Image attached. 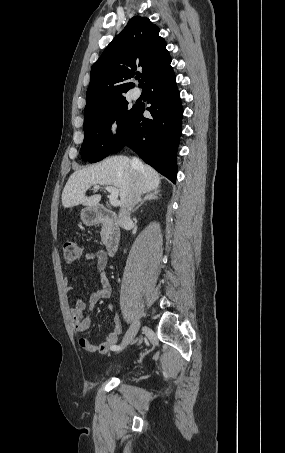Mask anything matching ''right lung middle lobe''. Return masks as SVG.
I'll return each mask as SVG.
<instances>
[{
	"label": "right lung middle lobe",
	"mask_w": 285,
	"mask_h": 453,
	"mask_svg": "<svg viewBox=\"0 0 285 453\" xmlns=\"http://www.w3.org/2000/svg\"><path fill=\"white\" fill-rule=\"evenodd\" d=\"M137 106L128 108L125 97L84 114V141L81 157L90 163L98 162L108 156L122 141ZM117 120L118 131L113 135L111 124Z\"/></svg>",
	"instance_id": "right-lung-middle-lobe-1"
}]
</instances>
